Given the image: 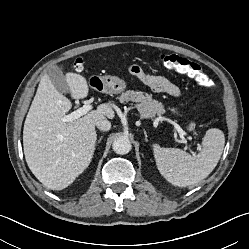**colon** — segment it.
Listing matches in <instances>:
<instances>
[{
  "label": "colon",
  "instance_id": "colon-1",
  "mask_svg": "<svg viewBox=\"0 0 249 249\" xmlns=\"http://www.w3.org/2000/svg\"><path fill=\"white\" fill-rule=\"evenodd\" d=\"M159 60L166 68L174 69L179 73L186 74L203 87H209L211 85L209 76L202 70L201 66L195 62L176 54H161ZM74 69L77 72H81L84 69V62L82 59L75 60Z\"/></svg>",
  "mask_w": 249,
  "mask_h": 249
}]
</instances>
